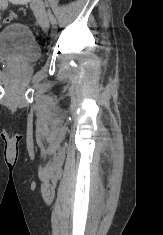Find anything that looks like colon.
Listing matches in <instances>:
<instances>
[{"label":"colon","instance_id":"colon-1","mask_svg":"<svg viewBox=\"0 0 163 235\" xmlns=\"http://www.w3.org/2000/svg\"><path fill=\"white\" fill-rule=\"evenodd\" d=\"M16 17H17L16 13L10 12L4 17V22L9 23L13 21L14 19H16Z\"/></svg>","mask_w":163,"mask_h":235}]
</instances>
